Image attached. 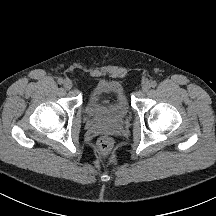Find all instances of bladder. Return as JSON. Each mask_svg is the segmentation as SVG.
Wrapping results in <instances>:
<instances>
[{
    "label": "bladder",
    "mask_w": 216,
    "mask_h": 216,
    "mask_svg": "<svg viewBox=\"0 0 216 216\" xmlns=\"http://www.w3.org/2000/svg\"><path fill=\"white\" fill-rule=\"evenodd\" d=\"M85 112L97 122L122 123L129 114L128 100L122 85L109 80L96 83L88 95Z\"/></svg>",
    "instance_id": "obj_1"
}]
</instances>
